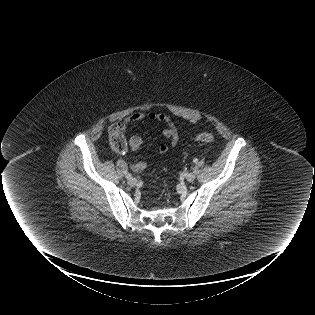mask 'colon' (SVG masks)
<instances>
[{
	"instance_id": "obj_1",
	"label": "colon",
	"mask_w": 315,
	"mask_h": 315,
	"mask_svg": "<svg viewBox=\"0 0 315 315\" xmlns=\"http://www.w3.org/2000/svg\"><path fill=\"white\" fill-rule=\"evenodd\" d=\"M108 134L112 150L118 154H125L128 150V144L120 123L113 124L109 128ZM196 141L210 144L215 141V136L211 132L201 133L196 136Z\"/></svg>"
}]
</instances>
